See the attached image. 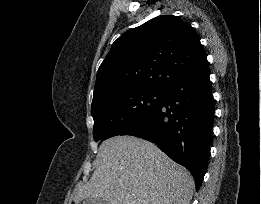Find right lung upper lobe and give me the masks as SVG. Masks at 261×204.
<instances>
[{
  "mask_svg": "<svg viewBox=\"0 0 261 204\" xmlns=\"http://www.w3.org/2000/svg\"><path fill=\"white\" fill-rule=\"evenodd\" d=\"M206 60L189 23L161 15L121 35L97 72L92 105L121 90L164 91Z\"/></svg>",
  "mask_w": 261,
  "mask_h": 204,
  "instance_id": "1",
  "label": "right lung upper lobe"
}]
</instances>
